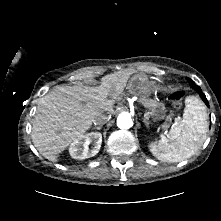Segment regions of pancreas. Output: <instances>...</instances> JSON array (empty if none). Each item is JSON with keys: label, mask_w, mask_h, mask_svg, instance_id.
<instances>
[{"label": "pancreas", "mask_w": 221, "mask_h": 221, "mask_svg": "<svg viewBox=\"0 0 221 221\" xmlns=\"http://www.w3.org/2000/svg\"><path fill=\"white\" fill-rule=\"evenodd\" d=\"M140 102L146 107L153 116H158L160 119L165 117V106L163 103L157 102L151 98H147L145 96L140 98ZM167 119H171V117H167Z\"/></svg>", "instance_id": "cf45deb5"}]
</instances>
